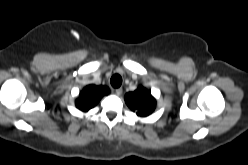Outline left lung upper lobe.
<instances>
[{"instance_id":"left-lung-upper-lobe-1","label":"left lung upper lobe","mask_w":248,"mask_h":165,"mask_svg":"<svg viewBox=\"0 0 248 165\" xmlns=\"http://www.w3.org/2000/svg\"><path fill=\"white\" fill-rule=\"evenodd\" d=\"M125 101L132 111H136L139 116H148L156 106V101L151 93L142 86H139L134 92L125 95Z\"/></svg>"}]
</instances>
